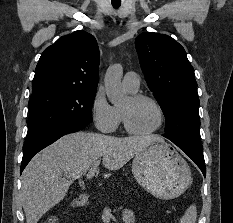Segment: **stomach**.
<instances>
[{
  "label": "stomach",
  "mask_w": 233,
  "mask_h": 223,
  "mask_svg": "<svg viewBox=\"0 0 233 223\" xmlns=\"http://www.w3.org/2000/svg\"><path fill=\"white\" fill-rule=\"evenodd\" d=\"M132 173L141 187L159 199H174L191 183V169L166 141H152L136 153Z\"/></svg>",
  "instance_id": "stomach-1"
}]
</instances>
